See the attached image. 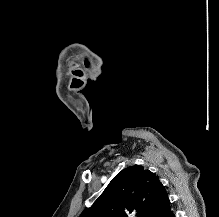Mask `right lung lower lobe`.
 I'll return each mask as SVG.
<instances>
[{
    "instance_id": "obj_1",
    "label": "right lung lower lobe",
    "mask_w": 219,
    "mask_h": 217,
    "mask_svg": "<svg viewBox=\"0 0 219 217\" xmlns=\"http://www.w3.org/2000/svg\"><path fill=\"white\" fill-rule=\"evenodd\" d=\"M164 217H175L173 211L171 210V208L166 212Z\"/></svg>"
}]
</instances>
